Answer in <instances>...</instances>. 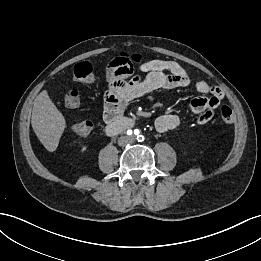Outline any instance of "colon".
I'll use <instances>...</instances> for the list:
<instances>
[{
    "mask_svg": "<svg viewBox=\"0 0 261 261\" xmlns=\"http://www.w3.org/2000/svg\"><path fill=\"white\" fill-rule=\"evenodd\" d=\"M115 61L123 66L132 70L134 64H139L142 57L139 54H120ZM73 79L76 83H89L94 79L92 65L88 62H80L75 65L73 69ZM81 99V92L78 87L71 88L65 95V105L67 107H75L79 104ZM220 117L223 123L232 124L234 122V113L228 106H223L220 111ZM93 124L89 120H83L73 125V131L79 136H87L91 133Z\"/></svg>",
    "mask_w": 261,
    "mask_h": 261,
    "instance_id": "1",
    "label": "colon"
}]
</instances>
